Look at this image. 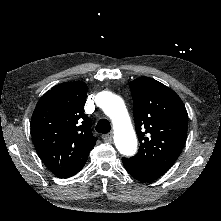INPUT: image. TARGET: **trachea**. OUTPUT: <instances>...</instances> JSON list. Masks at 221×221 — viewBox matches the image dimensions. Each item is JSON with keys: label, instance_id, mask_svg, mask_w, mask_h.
<instances>
[{"label": "trachea", "instance_id": "trachea-1", "mask_svg": "<svg viewBox=\"0 0 221 221\" xmlns=\"http://www.w3.org/2000/svg\"><path fill=\"white\" fill-rule=\"evenodd\" d=\"M95 129L98 133L106 134V133L110 132V129H111L110 123L106 119H101L96 124Z\"/></svg>", "mask_w": 221, "mask_h": 221}]
</instances>
